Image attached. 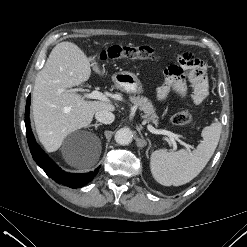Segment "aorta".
<instances>
[{"instance_id": "aorta-1", "label": "aorta", "mask_w": 247, "mask_h": 247, "mask_svg": "<svg viewBox=\"0 0 247 247\" xmlns=\"http://www.w3.org/2000/svg\"><path fill=\"white\" fill-rule=\"evenodd\" d=\"M133 133L128 128H121L115 134V141L119 145H129L132 142Z\"/></svg>"}]
</instances>
